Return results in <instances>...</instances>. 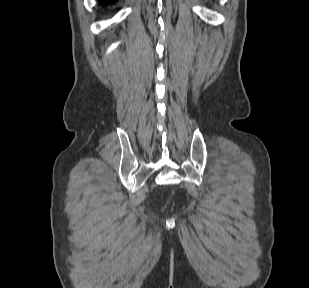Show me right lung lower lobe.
<instances>
[{
	"mask_svg": "<svg viewBox=\"0 0 309 288\" xmlns=\"http://www.w3.org/2000/svg\"><path fill=\"white\" fill-rule=\"evenodd\" d=\"M101 4H111L114 3L116 0H99Z\"/></svg>",
	"mask_w": 309,
	"mask_h": 288,
	"instance_id": "1",
	"label": "right lung lower lobe"
}]
</instances>
